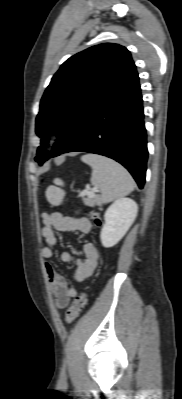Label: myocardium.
Returning a JSON list of instances; mask_svg holds the SVG:
<instances>
[{
    "label": "myocardium",
    "instance_id": "obj_1",
    "mask_svg": "<svg viewBox=\"0 0 182 399\" xmlns=\"http://www.w3.org/2000/svg\"><path fill=\"white\" fill-rule=\"evenodd\" d=\"M55 136H56V134L55 133H53V134H51V138H55Z\"/></svg>",
    "mask_w": 182,
    "mask_h": 399
}]
</instances>
